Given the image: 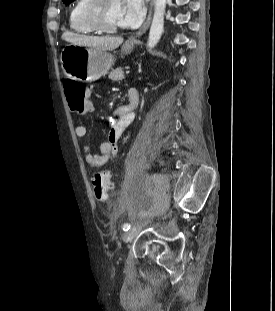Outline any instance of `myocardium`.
I'll use <instances>...</instances> for the list:
<instances>
[{"label":"myocardium","mask_w":275,"mask_h":311,"mask_svg":"<svg viewBox=\"0 0 275 311\" xmlns=\"http://www.w3.org/2000/svg\"><path fill=\"white\" fill-rule=\"evenodd\" d=\"M109 0H89L82 11L84 20L96 31L113 34L119 32L123 26H114L106 23L105 9Z\"/></svg>","instance_id":"1"}]
</instances>
